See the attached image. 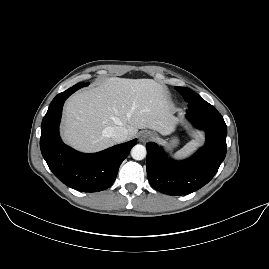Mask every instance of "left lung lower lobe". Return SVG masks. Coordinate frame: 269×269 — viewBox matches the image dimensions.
Listing matches in <instances>:
<instances>
[{
    "label": "left lung lower lobe",
    "mask_w": 269,
    "mask_h": 269,
    "mask_svg": "<svg viewBox=\"0 0 269 269\" xmlns=\"http://www.w3.org/2000/svg\"><path fill=\"white\" fill-rule=\"evenodd\" d=\"M187 118L205 131L206 142L184 161L168 160L156 143L146 144L147 176L151 186L167 195H188L207 184L217 173L226 156L227 127L218 111L193 113Z\"/></svg>",
    "instance_id": "1"
}]
</instances>
